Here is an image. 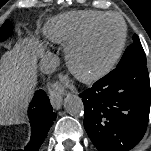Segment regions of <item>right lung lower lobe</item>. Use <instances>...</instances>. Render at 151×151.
Wrapping results in <instances>:
<instances>
[{"mask_svg": "<svg viewBox=\"0 0 151 151\" xmlns=\"http://www.w3.org/2000/svg\"><path fill=\"white\" fill-rule=\"evenodd\" d=\"M28 116L32 130L31 140L24 150L18 151H38L56 119L49 98L43 90L36 91L28 109Z\"/></svg>", "mask_w": 151, "mask_h": 151, "instance_id": "right-lung-lower-lobe-1", "label": "right lung lower lobe"}]
</instances>
